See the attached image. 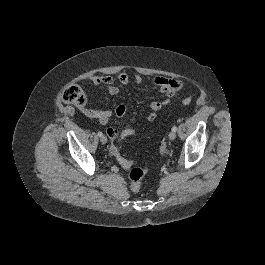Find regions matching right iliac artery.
Listing matches in <instances>:
<instances>
[{"label":"right iliac artery","instance_id":"1","mask_svg":"<svg viewBox=\"0 0 265 265\" xmlns=\"http://www.w3.org/2000/svg\"><path fill=\"white\" fill-rule=\"evenodd\" d=\"M98 136H99V137L103 136V133L99 131V132H98Z\"/></svg>","mask_w":265,"mask_h":265}]
</instances>
